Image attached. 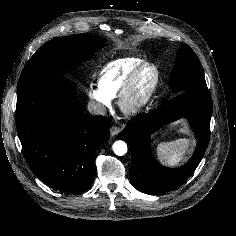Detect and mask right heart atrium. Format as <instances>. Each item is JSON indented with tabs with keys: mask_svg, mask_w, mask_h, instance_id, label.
<instances>
[{
	"mask_svg": "<svg viewBox=\"0 0 236 236\" xmlns=\"http://www.w3.org/2000/svg\"><path fill=\"white\" fill-rule=\"evenodd\" d=\"M89 98L100 109L108 108L111 105V99L97 84H91L88 88Z\"/></svg>",
	"mask_w": 236,
	"mask_h": 236,
	"instance_id": "1",
	"label": "right heart atrium"
}]
</instances>
